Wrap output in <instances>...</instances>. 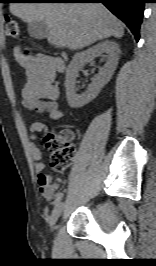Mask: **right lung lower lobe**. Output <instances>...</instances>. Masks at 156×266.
Wrapping results in <instances>:
<instances>
[{
    "label": "right lung lower lobe",
    "instance_id": "98d812e1",
    "mask_svg": "<svg viewBox=\"0 0 156 266\" xmlns=\"http://www.w3.org/2000/svg\"><path fill=\"white\" fill-rule=\"evenodd\" d=\"M51 3H103L114 15L131 30L136 41L143 18L146 0H45Z\"/></svg>",
    "mask_w": 156,
    "mask_h": 266
}]
</instances>
